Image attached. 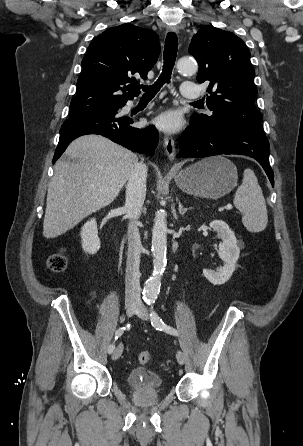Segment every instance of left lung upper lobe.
I'll list each match as a JSON object with an SVG mask.
<instances>
[{
    "mask_svg": "<svg viewBox=\"0 0 303 446\" xmlns=\"http://www.w3.org/2000/svg\"><path fill=\"white\" fill-rule=\"evenodd\" d=\"M189 53L200 65L197 81L209 83L206 104L212 111L211 116L193 114L190 120L266 137L254 103L255 71L244 42L231 32L206 26L192 38Z\"/></svg>",
    "mask_w": 303,
    "mask_h": 446,
    "instance_id": "1",
    "label": "left lung upper lobe"
}]
</instances>
